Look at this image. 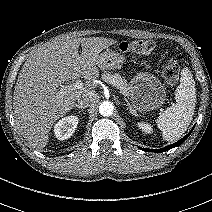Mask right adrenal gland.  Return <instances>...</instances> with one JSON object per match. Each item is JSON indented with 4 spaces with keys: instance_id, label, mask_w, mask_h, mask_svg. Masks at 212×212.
Masks as SVG:
<instances>
[{
    "instance_id": "2a0ac1e0",
    "label": "right adrenal gland",
    "mask_w": 212,
    "mask_h": 212,
    "mask_svg": "<svg viewBox=\"0 0 212 212\" xmlns=\"http://www.w3.org/2000/svg\"><path fill=\"white\" fill-rule=\"evenodd\" d=\"M74 108H79V109H81L82 111L85 110V107L82 106V105H79V104H75V105H74Z\"/></svg>"
}]
</instances>
